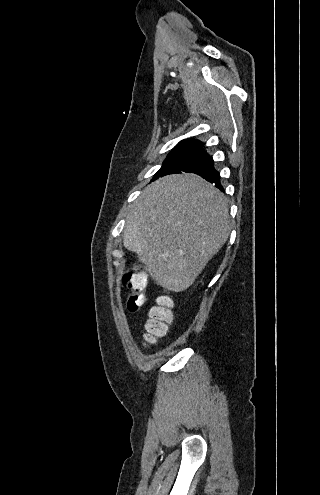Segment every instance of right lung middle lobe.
I'll list each match as a JSON object with an SVG mask.
<instances>
[{"instance_id":"dd1d6c3e","label":"right lung middle lobe","mask_w":320,"mask_h":495,"mask_svg":"<svg viewBox=\"0 0 320 495\" xmlns=\"http://www.w3.org/2000/svg\"><path fill=\"white\" fill-rule=\"evenodd\" d=\"M204 144L199 141L183 140L168 154L162 167L153 179L179 171Z\"/></svg>"}]
</instances>
